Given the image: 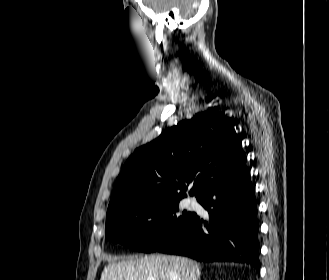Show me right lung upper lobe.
Here are the masks:
<instances>
[{"mask_svg":"<svg viewBox=\"0 0 329 280\" xmlns=\"http://www.w3.org/2000/svg\"><path fill=\"white\" fill-rule=\"evenodd\" d=\"M246 162L234 123L223 113L208 110L167 129L138 148L118 176L108 206L148 196L199 197L213 182Z\"/></svg>","mask_w":329,"mask_h":280,"instance_id":"1","label":"right lung upper lobe"}]
</instances>
